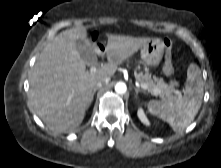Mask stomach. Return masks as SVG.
<instances>
[{"label":"stomach","instance_id":"1","mask_svg":"<svg viewBox=\"0 0 221 168\" xmlns=\"http://www.w3.org/2000/svg\"><path fill=\"white\" fill-rule=\"evenodd\" d=\"M165 44L159 38H152L141 47V59L148 67H156L162 60Z\"/></svg>","mask_w":221,"mask_h":168}]
</instances>
